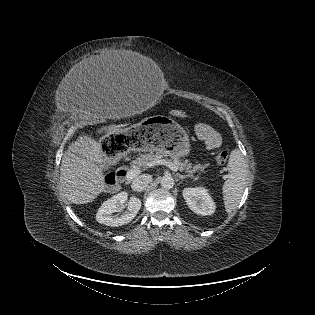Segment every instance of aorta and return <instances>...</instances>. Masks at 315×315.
Here are the masks:
<instances>
[{
	"label": "aorta",
	"mask_w": 315,
	"mask_h": 315,
	"mask_svg": "<svg viewBox=\"0 0 315 315\" xmlns=\"http://www.w3.org/2000/svg\"><path fill=\"white\" fill-rule=\"evenodd\" d=\"M160 184L165 189H171L173 188L175 182L172 176L165 175L162 177Z\"/></svg>",
	"instance_id": "aorta-1"
}]
</instances>
